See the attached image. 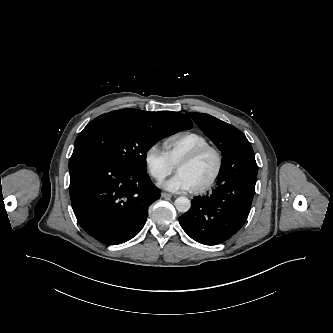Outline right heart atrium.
<instances>
[{"label": "right heart atrium", "mask_w": 333, "mask_h": 333, "mask_svg": "<svg viewBox=\"0 0 333 333\" xmlns=\"http://www.w3.org/2000/svg\"><path fill=\"white\" fill-rule=\"evenodd\" d=\"M144 163L150 176L158 182L163 181L175 169L169 157L156 144L149 146L144 154Z\"/></svg>", "instance_id": "1"}]
</instances>
